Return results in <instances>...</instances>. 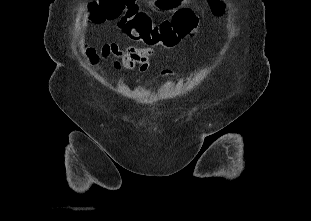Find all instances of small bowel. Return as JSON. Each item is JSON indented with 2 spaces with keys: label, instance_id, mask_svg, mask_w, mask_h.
Masks as SVG:
<instances>
[{
  "label": "small bowel",
  "instance_id": "small-bowel-1",
  "mask_svg": "<svg viewBox=\"0 0 311 221\" xmlns=\"http://www.w3.org/2000/svg\"><path fill=\"white\" fill-rule=\"evenodd\" d=\"M161 10V8H159ZM176 8H174V11ZM108 46H123L115 42L108 43L104 50H108ZM157 54V50L151 47H134L127 46V53H109L115 59L110 63L115 69L132 70L138 66L141 73H147L151 67V60ZM163 76H169V71H164Z\"/></svg>",
  "mask_w": 311,
  "mask_h": 221
}]
</instances>
